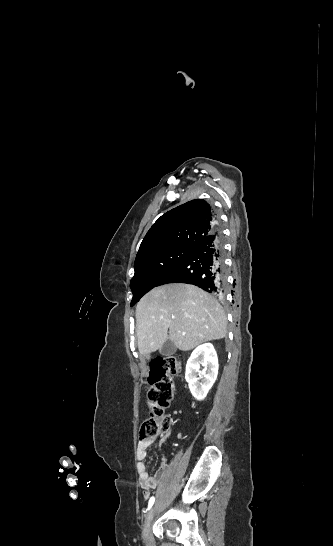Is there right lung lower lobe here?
<instances>
[{
  "mask_svg": "<svg viewBox=\"0 0 333 546\" xmlns=\"http://www.w3.org/2000/svg\"><path fill=\"white\" fill-rule=\"evenodd\" d=\"M168 283L196 285L209 293L223 295L226 286L223 236L218 226L200 239L191 252L157 286Z\"/></svg>",
  "mask_w": 333,
  "mask_h": 546,
  "instance_id": "98d812e1",
  "label": "right lung lower lobe"
}]
</instances>
